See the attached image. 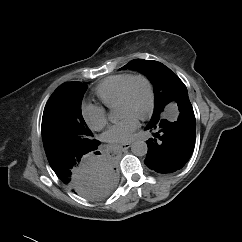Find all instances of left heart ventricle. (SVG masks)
Segmentation results:
<instances>
[{"mask_svg":"<svg viewBox=\"0 0 242 242\" xmlns=\"http://www.w3.org/2000/svg\"><path fill=\"white\" fill-rule=\"evenodd\" d=\"M148 105V89L142 80L135 81L130 89L129 98L126 103L117 106L119 117L131 114L138 117Z\"/></svg>","mask_w":242,"mask_h":242,"instance_id":"b2bd125f","label":"left heart ventricle"}]
</instances>
